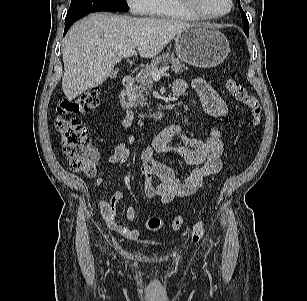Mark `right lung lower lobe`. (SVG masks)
<instances>
[{"instance_id":"obj_1","label":"right lung lower lobe","mask_w":307,"mask_h":301,"mask_svg":"<svg viewBox=\"0 0 307 301\" xmlns=\"http://www.w3.org/2000/svg\"><path fill=\"white\" fill-rule=\"evenodd\" d=\"M84 17V16H83ZM82 17H78V18H73V19H69L67 21H65V31H64V35L67 33V30L70 28V26L77 21L78 19H80Z\"/></svg>"}]
</instances>
